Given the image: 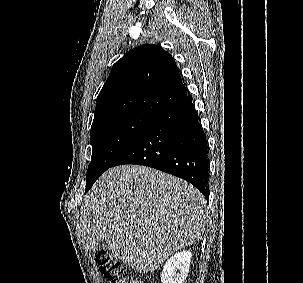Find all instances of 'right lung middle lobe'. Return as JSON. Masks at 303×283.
I'll use <instances>...</instances> for the list:
<instances>
[{
    "label": "right lung middle lobe",
    "mask_w": 303,
    "mask_h": 283,
    "mask_svg": "<svg viewBox=\"0 0 303 283\" xmlns=\"http://www.w3.org/2000/svg\"><path fill=\"white\" fill-rule=\"evenodd\" d=\"M155 115L122 113L101 119L92 124V158L87 170V192L139 134L152 122Z\"/></svg>",
    "instance_id": "1"
}]
</instances>
